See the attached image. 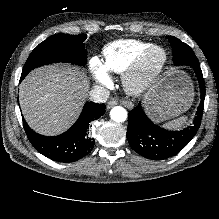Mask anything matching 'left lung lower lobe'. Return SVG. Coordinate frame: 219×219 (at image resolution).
I'll use <instances>...</instances> for the list:
<instances>
[{"instance_id": "0a47b994", "label": "left lung lower lobe", "mask_w": 219, "mask_h": 219, "mask_svg": "<svg viewBox=\"0 0 219 219\" xmlns=\"http://www.w3.org/2000/svg\"><path fill=\"white\" fill-rule=\"evenodd\" d=\"M201 93L197 119L182 130L171 131L161 128L150 120L141 104L128 113L127 139L138 154L149 159H166L182 150L196 134L200 126L205 98V85L200 66H192Z\"/></svg>"}]
</instances>
